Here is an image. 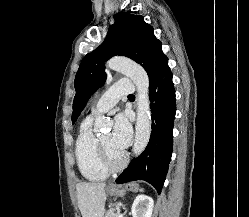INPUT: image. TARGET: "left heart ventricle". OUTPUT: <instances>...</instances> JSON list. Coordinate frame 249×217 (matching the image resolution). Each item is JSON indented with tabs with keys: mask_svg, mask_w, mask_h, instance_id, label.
Returning a JSON list of instances; mask_svg holds the SVG:
<instances>
[{
	"mask_svg": "<svg viewBox=\"0 0 249 217\" xmlns=\"http://www.w3.org/2000/svg\"><path fill=\"white\" fill-rule=\"evenodd\" d=\"M100 140L108 148V150L110 151V153L112 154L113 157H118L120 155L121 151H119L111 146L109 133H106V134L100 136Z\"/></svg>",
	"mask_w": 249,
	"mask_h": 217,
	"instance_id": "obj_1",
	"label": "left heart ventricle"
}]
</instances>
